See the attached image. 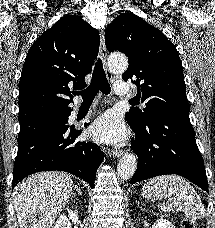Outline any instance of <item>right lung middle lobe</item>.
<instances>
[{
    "instance_id": "obj_1",
    "label": "right lung middle lobe",
    "mask_w": 215,
    "mask_h": 228,
    "mask_svg": "<svg viewBox=\"0 0 215 228\" xmlns=\"http://www.w3.org/2000/svg\"><path fill=\"white\" fill-rule=\"evenodd\" d=\"M67 116L68 113L47 115L20 123V132L18 140L48 127L66 125Z\"/></svg>"
}]
</instances>
